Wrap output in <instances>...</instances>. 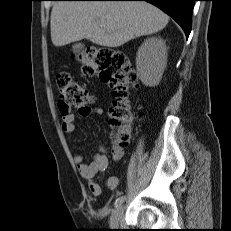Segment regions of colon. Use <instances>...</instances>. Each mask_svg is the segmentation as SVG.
<instances>
[{
	"mask_svg": "<svg viewBox=\"0 0 231 231\" xmlns=\"http://www.w3.org/2000/svg\"><path fill=\"white\" fill-rule=\"evenodd\" d=\"M81 72L87 77L97 74L109 85L114 101L109 110L108 122L113 127L123 128L133 117L129 103L130 89L137 86V75L127 55L111 47H89L82 56ZM56 82L63 114L75 108L88 107L94 101L93 95L74 81L70 74L57 73ZM116 139L120 145H126L130 136L123 131Z\"/></svg>",
	"mask_w": 231,
	"mask_h": 231,
	"instance_id": "5ec220e1",
	"label": "colon"
}]
</instances>
